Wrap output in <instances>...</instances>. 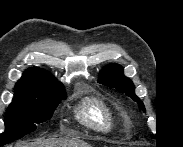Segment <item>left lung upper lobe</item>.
Here are the masks:
<instances>
[{
  "instance_id": "left-lung-upper-lobe-1",
  "label": "left lung upper lobe",
  "mask_w": 183,
  "mask_h": 147,
  "mask_svg": "<svg viewBox=\"0 0 183 147\" xmlns=\"http://www.w3.org/2000/svg\"><path fill=\"white\" fill-rule=\"evenodd\" d=\"M100 84L115 88L136 101L139 107L145 112L144 104L135 94L133 82L123 74V68L118 64H110L100 72Z\"/></svg>"
}]
</instances>
